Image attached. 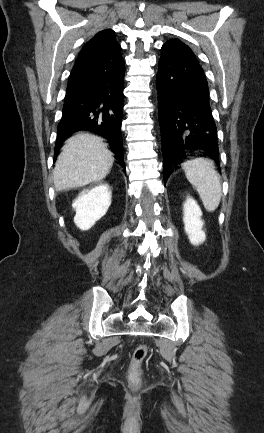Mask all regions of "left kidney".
I'll return each instance as SVG.
<instances>
[{
	"instance_id": "1",
	"label": "left kidney",
	"mask_w": 264,
	"mask_h": 433,
	"mask_svg": "<svg viewBox=\"0 0 264 433\" xmlns=\"http://www.w3.org/2000/svg\"><path fill=\"white\" fill-rule=\"evenodd\" d=\"M202 211L198 206L197 202L191 198L187 197L186 202L183 205V222L185 226V232L191 244L198 246L202 244L206 235L203 230L204 222L201 219Z\"/></svg>"
}]
</instances>
